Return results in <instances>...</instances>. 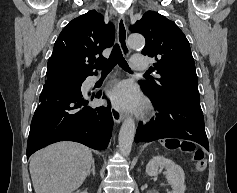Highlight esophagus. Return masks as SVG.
<instances>
[{"label":"esophagus","instance_id":"1","mask_svg":"<svg viewBox=\"0 0 237 193\" xmlns=\"http://www.w3.org/2000/svg\"><path fill=\"white\" fill-rule=\"evenodd\" d=\"M117 38L122 51L125 54L130 53L127 45V28L122 16L119 17L117 22ZM111 113L115 123H120L124 119V114L115 106H112Z\"/></svg>","mask_w":237,"mask_h":193}]
</instances>
